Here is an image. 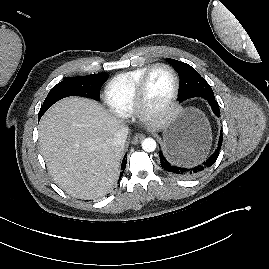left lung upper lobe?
<instances>
[{
  "label": "left lung upper lobe",
  "instance_id": "5c2ea615",
  "mask_svg": "<svg viewBox=\"0 0 269 269\" xmlns=\"http://www.w3.org/2000/svg\"><path fill=\"white\" fill-rule=\"evenodd\" d=\"M166 61L178 72L180 78V101L191 97L214 95L210 85L193 67L170 58H166Z\"/></svg>",
  "mask_w": 269,
  "mask_h": 269
}]
</instances>
